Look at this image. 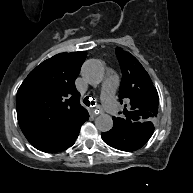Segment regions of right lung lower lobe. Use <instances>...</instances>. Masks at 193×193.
Here are the masks:
<instances>
[{
	"label": "right lung lower lobe",
	"mask_w": 193,
	"mask_h": 193,
	"mask_svg": "<svg viewBox=\"0 0 193 193\" xmlns=\"http://www.w3.org/2000/svg\"><path fill=\"white\" fill-rule=\"evenodd\" d=\"M73 143H74V142H73ZM73 143H72L70 146H72V145H73ZM70 146H69V147H70ZM66 149H67V148H66Z\"/></svg>",
	"instance_id": "right-lung-lower-lobe-1"
}]
</instances>
